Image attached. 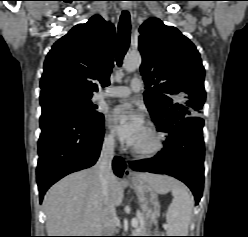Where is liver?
Wrapping results in <instances>:
<instances>
[{
  "mask_svg": "<svg viewBox=\"0 0 248 237\" xmlns=\"http://www.w3.org/2000/svg\"><path fill=\"white\" fill-rule=\"evenodd\" d=\"M136 177L159 192L166 184L176 183L170 177L150 173H139ZM128 185L114 175L111 177L109 193L115 207L122 203ZM43 204L48 236H97L103 231L104 203L96 167L70 174L54 184Z\"/></svg>",
  "mask_w": 248,
  "mask_h": 237,
  "instance_id": "6515ba94",
  "label": "liver"
}]
</instances>
